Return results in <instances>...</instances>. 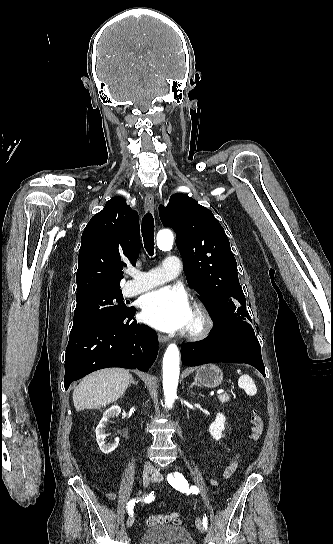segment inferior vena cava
Segmentation results:
<instances>
[{
  "label": "inferior vena cava",
  "mask_w": 333,
  "mask_h": 544,
  "mask_svg": "<svg viewBox=\"0 0 333 544\" xmlns=\"http://www.w3.org/2000/svg\"><path fill=\"white\" fill-rule=\"evenodd\" d=\"M145 468H149V469H150V468H152V465H151L149 462H147V463L145 464Z\"/></svg>",
  "instance_id": "inferior-vena-cava-1"
}]
</instances>
